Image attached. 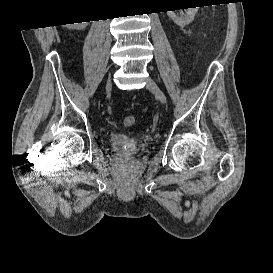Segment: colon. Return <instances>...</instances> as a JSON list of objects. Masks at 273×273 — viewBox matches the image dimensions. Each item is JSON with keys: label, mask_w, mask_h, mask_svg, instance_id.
Wrapping results in <instances>:
<instances>
[{"label": "colon", "mask_w": 273, "mask_h": 273, "mask_svg": "<svg viewBox=\"0 0 273 273\" xmlns=\"http://www.w3.org/2000/svg\"><path fill=\"white\" fill-rule=\"evenodd\" d=\"M136 123V118L132 115H129V116H126L123 120V124L126 126V127H131V126H134Z\"/></svg>", "instance_id": "5ec220e1"}]
</instances>
